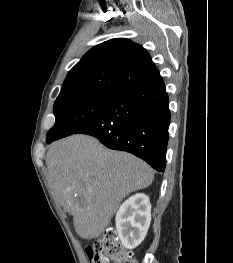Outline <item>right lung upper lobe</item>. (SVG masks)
I'll return each instance as SVG.
<instances>
[{"mask_svg":"<svg viewBox=\"0 0 233 263\" xmlns=\"http://www.w3.org/2000/svg\"><path fill=\"white\" fill-rule=\"evenodd\" d=\"M159 75L148 52L129 39H111L69 71L59 96L87 91L119 93Z\"/></svg>","mask_w":233,"mask_h":263,"instance_id":"right-lung-upper-lobe-1","label":"right lung upper lobe"}]
</instances>
